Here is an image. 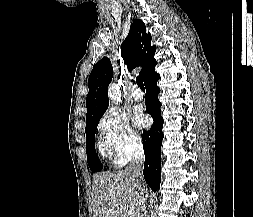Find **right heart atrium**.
<instances>
[{"mask_svg": "<svg viewBox=\"0 0 253 217\" xmlns=\"http://www.w3.org/2000/svg\"><path fill=\"white\" fill-rule=\"evenodd\" d=\"M98 129L120 163L127 161L141 147L140 135L128 116L117 109H109L103 114Z\"/></svg>", "mask_w": 253, "mask_h": 217, "instance_id": "obj_1", "label": "right heart atrium"}]
</instances>
